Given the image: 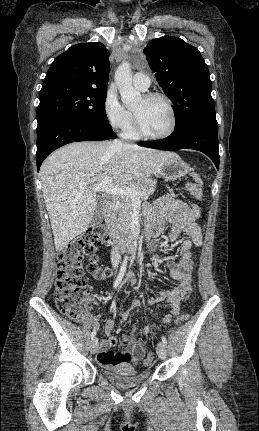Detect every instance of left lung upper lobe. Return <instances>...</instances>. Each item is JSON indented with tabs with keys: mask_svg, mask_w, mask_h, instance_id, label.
Wrapping results in <instances>:
<instances>
[{
	"mask_svg": "<svg viewBox=\"0 0 259 431\" xmlns=\"http://www.w3.org/2000/svg\"><path fill=\"white\" fill-rule=\"evenodd\" d=\"M144 54L174 104L175 128L191 121L217 124L209 70L197 48L180 38L163 36L151 40Z\"/></svg>",
	"mask_w": 259,
	"mask_h": 431,
	"instance_id": "5c2ea615",
	"label": "left lung upper lobe"
}]
</instances>
